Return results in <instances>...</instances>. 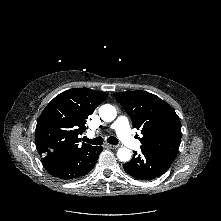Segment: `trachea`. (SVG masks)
<instances>
[{"instance_id":"obj_1","label":"trachea","mask_w":221,"mask_h":221,"mask_svg":"<svg viewBox=\"0 0 221 221\" xmlns=\"http://www.w3.org/2000/svg\"><path fill=\"white\" fill-rule=\"evenodd\" d=\"M83 141H85L89 144H93V145H101L103 143V138L102 137H97V138H94V139H89V138L84 136ZM107 142L112 144V145L118 144V140L114 136H110L107 139Z\"/></svg>"}]
</instances>
